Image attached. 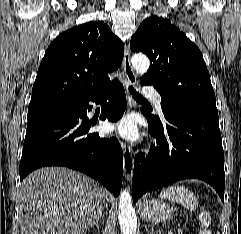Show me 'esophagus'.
I'll return each instance as SVG.
<instances>
[{"instance_id":"1","label":"esophagus","mask_w":241,"mask_h":234,"mask_svg":"<svg viewBox=\"0 0 241 234\" xmlns=\"http://www.w3.org/2000/svg\"><path fill=\"white\" fill-rule=\"evenodd\" d=\"M123 72L124 79L123 84L127 94V102L129 107L131 108L133 105V99L129 92V86L136 87L137 80L134 74L131 62H130V50L129 47H125L124 58H123ZM123 149V167L124 173L127 180H131L133 177V169H134V160L132 156V150L126 144H122Z\"/></svg>"}]
</instances>
